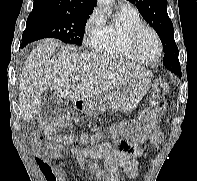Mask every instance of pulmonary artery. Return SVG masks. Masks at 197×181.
<instances>
[{
  "instance_id": "1",
  "label": "pulmonary artery",
  "mask_w": 197,
  "mask_h": 181,
  "mask_svg": "<svg viewBox=\"0 0 197 181\" xmlns=\"http://www.w3.org/2000/svg\"><path fill=\"white\" fill-rule=\"evenodd\" d=\"M123 6H131V5H129V3H127V2H124Z\"/></svg>"
}]
</instances>
